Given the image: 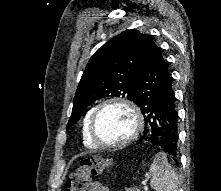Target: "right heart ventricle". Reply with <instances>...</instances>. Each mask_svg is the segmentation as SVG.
<instances>
[{"label":"right heart ventricle","mask_w":221,"mask_h":191,"mask_svg":"<svg viewBox=\"0 0 221 191\" xmlns=\"http://www.w3.org/2000/svg\"><path fill=\"white\" fill-rule=\"evenodd\" d=\"M94 108H91L84 116L83 122H82V129H81V134H82V141L83 144L87 148H97L98 146L91 140L90 134H89V122H90V117L93 112Z\"/></svg>","instance_id":"1"}]
</instances>
